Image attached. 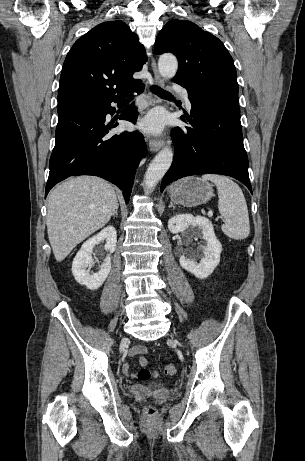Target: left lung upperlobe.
Returning <instances> with one entry per match:
<instances>
[{"mask_svg":"<svg viewBox=\"0 0 305 461\" xmlns=\"http://www.w3.org/2000/svg\"><path fill=\"white\" fill-rule=\"evenodd\" d=\"M155 52L176 55L179 66L173 81L186 89L238 92L231 55L218 38L193 22L169 21L156 38Z\"/></svg>","mask_w":305,"mask_h":461,"instance_id":"1","label":"left lung upper lobe"}]
</instances>
